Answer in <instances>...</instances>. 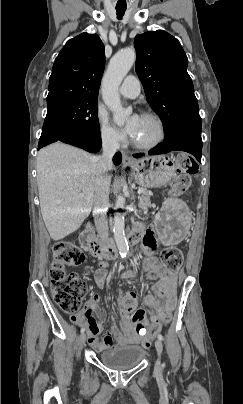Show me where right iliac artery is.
I'll return each mask as SVG.
<instances>
[{"mask_svg": "<svg viewBox=\"0 0 243 404\" xmlns=\"http://www.w3.org/2000/svg\"><path fill=\"white\" fill-rule=\"evenodd\" d=\"M84 331H85V329H84V328H81V333H84Z\"/></svg>", "mask_w": 243, "mask_h": 404, "instance_id": "right-iliac-artery-1", "label": "right iliac artery"}]
</instances>
